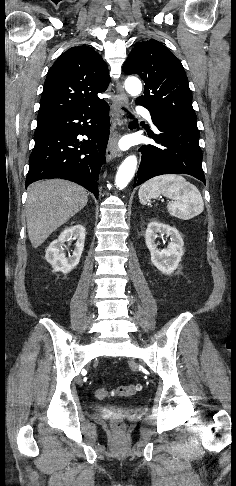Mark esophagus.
Returning a JSON list of instances; mask_svg holds the SVG:
<instances>
[{
	"label": "esophagus",
	"mask_w": 236,
	"mask_h": 486,
	"mask_svg": "<svg viewBox=\"0 0 236 486\" xmlns=\"http://www.w3.org/2000/svg\"><path fill=\"white\" fill-rule=\"evenodd\" d=\"M127 104H128V97L124 93L120 81H116V96L112 104V111H113V118H114L113 127H112V132L106 149V159L108 162H110L112 159L116 158L117 156L121 155L117 144L119 134L118 131H116V125L121 127L124 124L123 112L121 110V107Z\"/></svg>",
	"instance_id": "obj_1"
}]
</instances>
